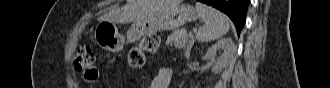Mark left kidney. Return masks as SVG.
Returning <instances> with one entry per match:
<instances>
[{
	"label": "left kidney",
	"mask_w": 330,
	"mask_h": 88,
	"mask_svg": "<svg viewBox=\"0 0 330 88\" xmlns=\"http://www.w3.org/2000/svg\"><path fill=\"white\" fill-rule=\"evenodd\" d=\"M219 50H223V54L217 57V51ZM235 51L236 46L232 39H220L208 49L204 59L213 62L214 67L212 68V72L218 73L231 64Z\"/></svg>",
	"instance_id": "left-kidney-1"
}]
</instances>
